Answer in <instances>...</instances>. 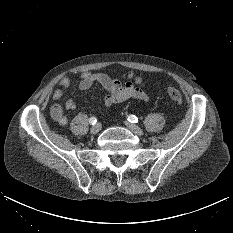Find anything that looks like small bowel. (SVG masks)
<instances>
[{"label": "small bowel", "mask_w": 233, "mask_h": 233, "mask_svg": "<svg viewBox=\"0 0 233 233\" xmlns=\"http://www.w3.org/2000/svg\"><path fill=\"white\" fill-rule=\"evenodd\" d=\"M94 83L102 85L107 91L103 99V105L106 108H110L113 104L124 102L129 99L140 101L148 100V94L145 90L142 77L133 71L121 77H112L106 73L82 72L80 74V90H88ZM70 84L71 81L69 78H61L58 81V88L53 91L51 96L54 103L50 109V115L52 119L60 125H66L68 122V117L64 112V108L69 111L76 108V103L73 99H68L64 106L58 103Z\"/></svg>", "instance_id": "1"}]
</instances>
